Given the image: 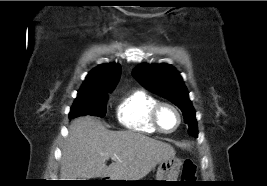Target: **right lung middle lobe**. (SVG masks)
<instances>
[{
  "label": "right lung middle lobe",
  "mask_w": 267,
  "mask_h": 186,
  "mask_svg": "<svg viewBox=\"0 0 267 186\" xmlns=\"http://www.w3.org/2000/svg\"><path fill=\"white\" fill-rule=\"evenodd\" d=\"M112 89L97 91L78 92L69 113V118H76L83 115H94L104 117L106 114L107 93Z\"/></svg>",
  "instance_id": "obj_1"
}]
</instances>
